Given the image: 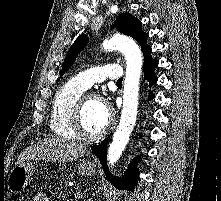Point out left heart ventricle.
<instances>
[{
  "label": "left heart ventricle",
  "mask_w": 221,
  "mask_h": 201,
  "mask_svg": "<svg viewBox=\"0 0 221 201\" xmlns=\"http://www.w3.org/2000/svg\"><path fill=\"white\" fill-rule=\"evenodd\" d=\"M106 106L97 101L89 100L83 112V127L88 134L101 132L109 122Z\"/></svg>",
  "instance_id": "b2bd125f"
}]
</instances>
